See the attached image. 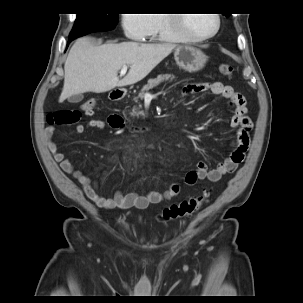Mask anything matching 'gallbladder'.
<instances>
[{"instance_id": "1", "label": "gallbladder", "mask_w": 303, "mask_h": 303, "mask_svg": "<svg viewBox=\"0 0 303 303\" xmlns=\"http://www.w3.org/2000/svg\"><path fill=\"white\" fill-rule=\"evenodd\" d=\"M83 99V96L81 94L78 95H73L71 97L68 98V101L70 103H78Z\"/></svg>"}]
</instances>
